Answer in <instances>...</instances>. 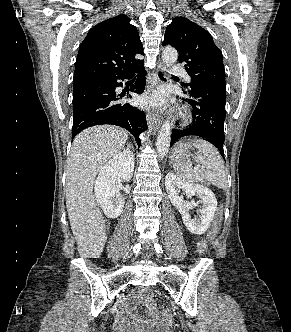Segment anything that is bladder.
<instances>
[{
	"label": "bladder",
	"mask_w": 291,
	"mask_h": 332,
	"mask_svg": "<svg viewBox=\"0 0 291 332\" xmlns=\"http://www.w3.org/2000/svg\"><path fill=\"white\" fill-rule=\"evenodd\" d=\"M152 332H158V331H152ZM162 332H167V331H162Z\"/></svg>",
	"instance_id": "31cf9c89"
}]
</instances>
